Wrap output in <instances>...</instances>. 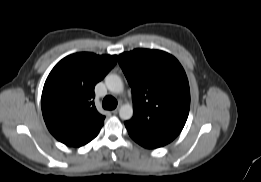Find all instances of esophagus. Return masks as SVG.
<instances>
[{
	"mask_svg": "<svg viewBox=\"0 0 261 182\" xmlns=\"http://www.w3.org/2000/svg\"><path fill=\"white\" fill-rule=\"evenodd\" d=\"M118 111H119V109L116 108V109L112 110V114L116 115L118 113Z\"/></svg>",
	"mask_w": 261,
	"mask_h": 182,
	"instance_id": "esophagus-1",
	"label": "esophagus"
}]
</instances>
